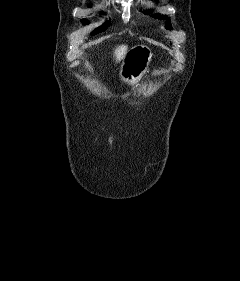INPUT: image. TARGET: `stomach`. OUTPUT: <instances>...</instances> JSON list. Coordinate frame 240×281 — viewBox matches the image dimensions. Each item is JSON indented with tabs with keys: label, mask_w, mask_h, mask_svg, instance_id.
Listing matches in <instances>:
<instances>
[{
	"label": "stomach",
	"mask_w": 240,
	"mask_h": 281,
	"mask_svg": "<svg viewBox=\"0 0 240 281\" xmlns=\"http://www.w3.org/2000/svg\"><path fill=\"white\" fill-rule=\"evenodd\" d=\"M151 49L142 44L131 47L123 57L120 67V81L128 86H134L148 71L152 60Z\"/></svg>",
	"instance_id": "0dacf381"
}]
</instances>
